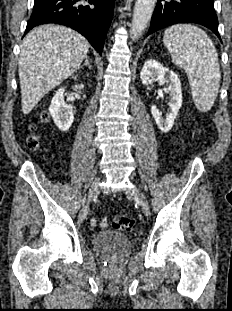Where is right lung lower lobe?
<instances>
[{"label":"right lung lower lobe","instance_id":"1","mask_svg":"<svg viewBox=\"0 0 232 311\" xmlns=\"http://www.w3.org/2000/svg\"><path fill=\"white\" fill-rule=\"evenodd\" d=\"M89 3L95 7L82 5L80 0H35L25 34L41 24H62L85 36L101 55L113 18L114 0H89Z\"/></svg>","mask_w":232,"mask_h":311}]
</instances>
